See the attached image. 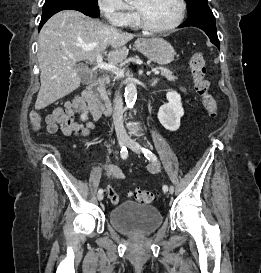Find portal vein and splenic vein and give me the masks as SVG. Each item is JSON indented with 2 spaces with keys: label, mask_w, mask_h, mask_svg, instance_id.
Masks as SVG:
<instances>
[{
  "label": "portal vein and splenic vein",
  "mask_w": 261,
  "mask_h": 273,
  "mask_svg": "<svg viewBox=\"0 0 261 273\" xmlns=\"http://www.w3.org/2000/svg\"><path fill=\"white\" fill-rule=\"evenodd\" d=\"M96 67L101 69V70L111 71L112 73H114L118 77H123L124 76V71L121 68H118L114 64L104 63L101 55H98V57H97ZM154 73L158 74L159 71L154 70Z\"/></svg>",
  "instance_id": "portal-vein-and-splenic-vein-1"
}]
</instances>
